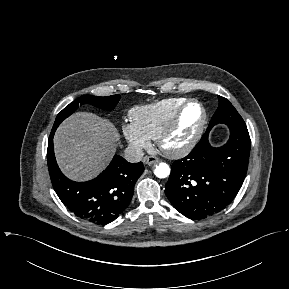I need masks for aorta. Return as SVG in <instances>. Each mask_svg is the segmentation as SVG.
<instances>
[{
  "label": "aorta",
  "mask_w": 289,
  "mask_h": 289,
  "mask_svg": "<svg viewBox=\"0 0 289 289\" xmlns=\"http://www.w3.org/2000/svg\"><path fill=\"white\" fill-rule=\"evenodd\" d=\"M154 174L158 178H166L170 174V167L166 163H159L154 170Z\"/></svg>",
  "instance_id": "aorta-1"
}]
</instances>
